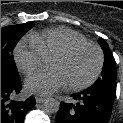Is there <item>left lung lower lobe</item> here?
I'll list each match as a JSON object with an SVG mask.
<instances>
[{"mask_svg": "<svg viewBox=\"0 0 123 123\" xmlns=\"http://www.w3.org/2000/svg\"><path fill=\"white\" fill-rule=\"evenodd\" d=\"M115 92L86 89L73 95L74 103L60 104L55 123H108Z\"/></svg>", "mask_w": 123, "mask_h": 123, "instance_id": "obj_1", "label": "left lung lower lobe"}]
</instances>
